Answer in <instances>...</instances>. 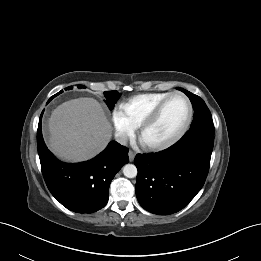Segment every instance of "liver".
I'll return each instance as SVG.
<instances>
[{
  "label": "liver",
  "instance_id": "liver-1",
  "mask_svg": "<svg viewBox=\"0 0 261 261\" xmlns=\"http://www.w3.org/2000/svg\"><path fill=\"white\" fill-rule=\"evenodd\" d=\"M49 131L51 150L72 162L93 158L112 136L111 124L93 98L73 99L59 105L49 118Z\"/></svg>",
  "mask_w": 261,
  "mask_h": 261
}]
</instances>
